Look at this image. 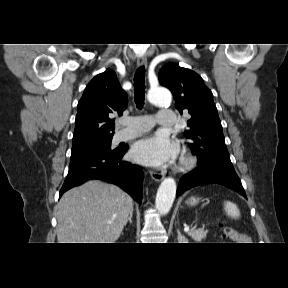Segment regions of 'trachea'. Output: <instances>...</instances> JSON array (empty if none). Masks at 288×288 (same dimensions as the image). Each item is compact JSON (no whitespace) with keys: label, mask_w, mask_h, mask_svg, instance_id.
I'll list each match as a JSON object with an SVG mask.
<instances>
[{"label":"trachea","mask_w":288,"mask_h":288,"mask_svg":"<svg viewBox=\"0 0 288 288\" xmlns=\"http://www.w3.org/2000/svg\"><path fill=\"white\" fill-rule=\"evenodd\" d=\"M145 96V68L139 67L134 76V97L135 103L139 109L144 104Z\"/></svg>","instance_id":"1"}]
</instances>
